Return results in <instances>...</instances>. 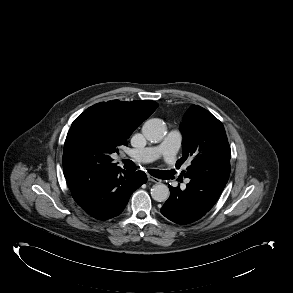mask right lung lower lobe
<instances>
[{
  "mask_svg": "<svg viewBox=\"0 0 293 293\" xmlns=\"http://www.w3.org/2000/svg\"><path fill=\"white\" fill-rule=\"evenodd\" d=\"M147 181L142 171L128 172L121 168L100 173L90 179L83 186L82 195L90 197L100 203L110 206V211L98 220H106L118 216L125 208L131 194Z\"/></svg>",
  "mask_w": 293,
  "mask_h": 293,
  "instance_id": "1",
  "label": "right lung lower lobe"
}]
</instances>
